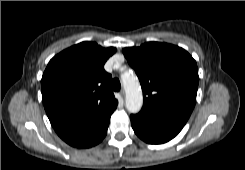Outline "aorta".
I'll list each match as a JSON object with an SVG mask.
<instances>
[{"mask_svg":"<svg viewBox=\"0 0 245 170\" xmlns=\"http://www.w3.org/2000/svg\"><path fill=\"white\" fill-rule=\"evenodd\" d=\"M122 82L126 94V108L130 113H137L141 110L143 104V96L141 87L137 78L131 75L122 76Z\"/></svg>","mask_w":245,"mask_h":170,"instance_id":"aorta-1","label":"aorta"}]
</instances>
